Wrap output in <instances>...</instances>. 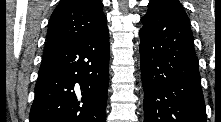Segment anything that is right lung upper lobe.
I'll list each match as a JSON object with an SVG mask.
<instances>
[{
	"instance_id": "cb5924a9",
	"label": "right lung upper lobe",
	"mask_w": 221,
	"mask_h": 122,
	"mask_svg": "<svg viewBox=\"0 0 221 122\" xmlns=\"http://www.w3.org/2000/svg\"><path fill=\"white\" fill-rule=\"evenodd\" d=\"M106 20L100 0H62L51 15L43 57L99 32Z\"/></svg>"
}]
</instances>
